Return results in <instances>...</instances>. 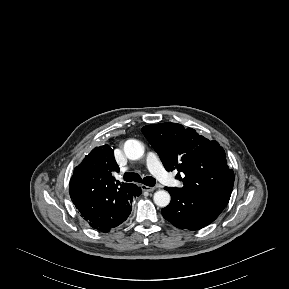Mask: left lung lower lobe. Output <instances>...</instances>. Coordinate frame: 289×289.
<instances>
[{"instance_id": "left-lung-lower-lobe-1", "label": "left lung lower lobe", "mask_w": 289, "mask_h": 289, "mask_svg": "<svg viewBox=\"0 0 289 289\" xmlns=\"http://www.w3.org/2000/svg\"><path fill=\"white\" fill-rule=\"evenodd\" d=\"M170 204L161 210L163 217L180 229L198 230L212 223L223 209L196 196L166 187Z\"/></svg>"}]
</instances>
